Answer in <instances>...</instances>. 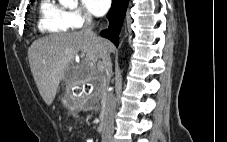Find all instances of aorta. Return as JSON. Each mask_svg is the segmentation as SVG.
<instances>
[{"label": "aorta", "instance_id": "obj_1", "mask_svg": "<svg viewBox=\"0 0 227 142\" xmlns=\"http://www.w3.org/2000/svg\"><path fill=\"white\" fill-rule=\"evenodd\" d=\"M62 4L73 7L77 5L78 0H59Z\"/></svg>", "mask_w": 227, "mask_h": 142}]
</instances>
